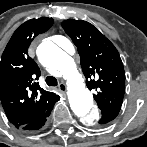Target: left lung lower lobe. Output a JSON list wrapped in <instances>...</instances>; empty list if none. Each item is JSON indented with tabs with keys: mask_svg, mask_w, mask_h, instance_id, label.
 <instances>
[{
	"mask_svg": "<svg viewBox=\"0 0 147 147\" xmlns=\"http://www.w3.org/2000/svg\"><path fill=\"white\" fill-rule=\"evenodd\" d=\"M120 111L119 107L101 110L102 117L99 120L100 124H106L116 118Z\"/></svg>",
	"mask_w": 147,
	"mask_h": 147,
	"instance_id": "1",
	"label": "left lung lower lobe"
}]
</instances>
